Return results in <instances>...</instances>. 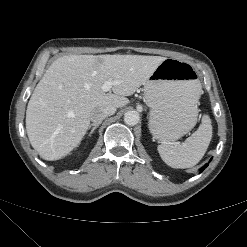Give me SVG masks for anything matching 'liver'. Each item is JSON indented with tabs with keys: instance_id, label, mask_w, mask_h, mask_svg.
<instances>
[{
	"instance_id": "1",
	"label": "liver",
	"mask_w": 247,
	"mask_h": 247,
	"mask_svg": "<svg viewBox=\"0 0 247 247\" xmlns=\"http://www.w3.org/2000/svg\"><path fill=\"white\" fill-rule=\"evenodd\" d=\"M166 57L145 55H66L56 59L34 89L26 110L32 147L49 161L68 155L90 126V115L122 108ZM116 82L108 93L102 86Z\"/></svg>"
}]
</instances>
